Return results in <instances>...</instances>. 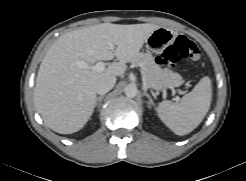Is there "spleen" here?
I'll return each instance as SVG.
<instances>
[{
  "label": "spleen",
  "instance_id": "obj_1",
  "mask_svg": "<svg viewBox=\"0 0 246 181\" xmlns=\"http://www.w3.org/2000/svg\"><path fill=\"white\" fill-rule=\"evenodd\" d=\"M212 100V85L205 76L191 92L183 96L180 103L162 101L157 113L162 122L175 134L183 136L192 132L209 111Z\"/></svg>",
  "mask_w": 246,
  "mask_h": 181
}]
</instances>
